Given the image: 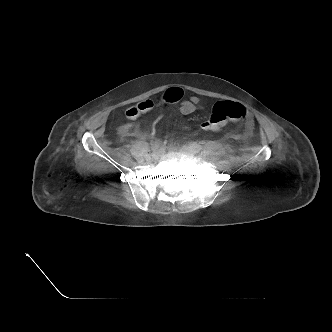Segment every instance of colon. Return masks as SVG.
Listing matches in <instances>:
<instances>
[{
	"label": "colon",
	"mask_w": 332,
	"mask_h": 332,
	"mask_svg": "<svg viewBox=\"0 0 332 332\" xmlns=\"http://www.w3.org/2000/svg\"><path fill=\"white\" fill-rule=\"evenodd\" d=\"M179 98L180 93L171 89L164 96V99L168 102L177 101ZM158 105L159 102L153 100L138 102L126 110V118L136 119L152 111ZM247 117L248 112L241 104L232 101H220L213 106L210 116L201 124V129L215 132L220 130L229 121H240Z\"/></svg>",
	"instance_id": "5ec220e1"
}]
</instances>
